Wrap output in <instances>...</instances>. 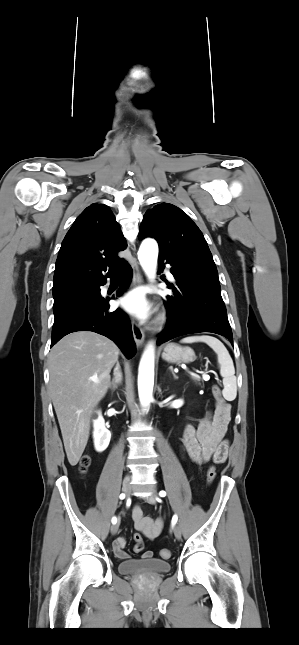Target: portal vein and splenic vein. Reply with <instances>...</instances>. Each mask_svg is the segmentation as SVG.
<instances>
[{
    "instance_id": "portal-vein-and-splenic-vein-1",
    "label": "portal vein and splenic vein",
    "mask_w": 299,
    "mask_h": 645,
    "mask_svg": "<svg viewBox=\"0 0 299 645\" xmlns=\"http://www.w3.org/2000/svg\"><path fill=\"white\" fill-rule=\"evenodd\" d=\"M204 379H205V380H208V379H209V376H208V375H204ZM93 381H94L95 383H98V380H93Z\"/></svg>"
}]
</instances>
